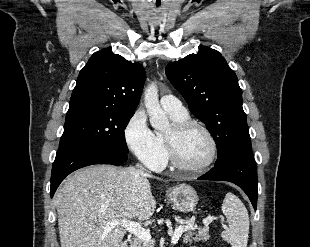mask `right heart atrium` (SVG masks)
I'll return each instance as SVG.
<instances>
[{
	"label": "right heart atrium",
	"instance_id": "obj_1",
	"mask_svg": "<svg viewBox=\"0 0 310 247\" xmlns=\"http://www.w3.org/2000/svg\"><path fill=\"white\" fill-rule=\"evenodd\" d=\"M124 140L129 150L152 170H160L166 156L156 134L150 129L146 115L139 110L134 113L124 128Z\"/></svg>",
	"mask_w": 310,
	"mask_h": 247
}]
</instances>
